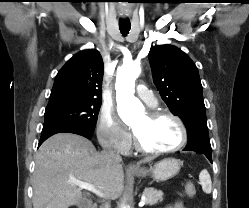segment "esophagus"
Returning a JSON list of instances; mask_svg holds the SVG:
<instances>
[{"label": "esophagus", "instance_id": "esophagus-1", "mask_svg": "<svg viewBox=\"0 0 249 208\" xmlns=\"http://www.w3.org/2000/svg\"><path fill=\"white\" fill-rule=\"evenodd\" d=\"M130 170H137L138 167L134 164H130L129 167H128Z\"/></svg>", "mask_w": 249, "mask_h": 208}]
</instances>
